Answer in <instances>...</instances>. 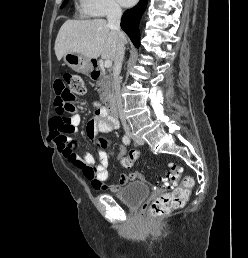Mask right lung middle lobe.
I'll use <instances>...</instances> for the list:
<instances>
[{
  "label": "right lung middle lobe",
  "mask_w": 248,
  "mask_h": 258,
  "mask_svg": "<svg viewBox=\"0 0 248 258\" xmlns=\"http://www.w3.org/2000/svg\"><path fill=\"white\" fill-rule=\"evenodd\" d=\"M68 1H69V0H64V2H63V4H62L61 8H63V7L68 3Z\"/></svg>",
  "instance_id": "obj_1"
}]
</instances>
